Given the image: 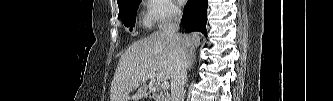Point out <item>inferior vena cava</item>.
Returning a JSON list of instances; mask_svg holds the SVG:
<instances>
[{"label":"inferior vena cava","instance_id":"1","mask_svg":"<svg viewBox=\"0 0 333 101\" xmlns=\"http://www.w3.org/2000/svg\"><path fill=\"white\" fill-rule=\"evenodd\" d=\"M181 17L180 10H172L168 19L159 25V29L168 37L175 61L171 77V101H184V86L187 79L188 53L178 34Z\"/></svg>","mask_w":333,"mask_h":101}]
</instances>
